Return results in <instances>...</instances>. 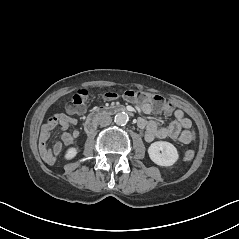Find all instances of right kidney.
<instances>
[{"instance_id":"ca27d5eb","label":"right kidney","mask_w":239,"mask_h":239,"mask_svg":"<svg viewBox=\"0 0 239 239\" xmlns=\"http://www.w3.org/2000/svg\"><path fill=\"white\" fill-rule=\"evenodd\" d=\"M77 155V149L72 147V158H74ZM64 159L65 160H70L71 159V154L70 153H65L64 154Z\"/></svg>"}]
</instances>
